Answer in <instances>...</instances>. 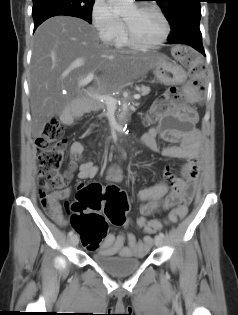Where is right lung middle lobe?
<instances>
[{
  "label": "right lung middle lobe",
  "mask_w": 238,
  "mask_h": 315,
  "mask_svg": "<svg viewBox=\"0 0 238 315\" xmlns=\"http://www.w3.org/2000/svg\"><path fill=\"white\" fill-rule=\"evenodd\" d=\"M93 4L94 0H33L32 16L50 11H64L91 23Z\"/></svg>",
  "instance_id": "obj_1"
}]
</instances>
